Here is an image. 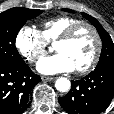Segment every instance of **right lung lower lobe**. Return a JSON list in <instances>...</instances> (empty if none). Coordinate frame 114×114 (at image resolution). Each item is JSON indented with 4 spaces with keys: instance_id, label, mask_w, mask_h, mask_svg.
Wrapping results in <instances>:
<instances>
[{
    "instance_id": "obj_1",
    "label": "right lung lower lobe",
    "mask_w": 114,
    "mask_h": 114,
    "mask_svg": "<svg viewBox=\"0 0 114 114\" xmlns=\"http://www.w3.org/2000/svg\"><path fill=\"white\" fill-rule=\"evenodd\" d=\"M40 80L25 62L0 64V114H22L31 103L32 88Z\"/></svg>"
}]
</instances>
